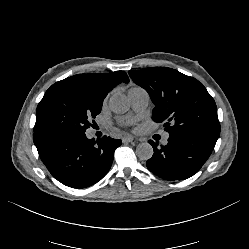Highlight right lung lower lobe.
<instances>
[{"label": "right lung lower lobe", "mask_w": 249, "mask_h": 249, "mask_svg": "<svg viewBox=\"0 0 249 249\" xmlns=\"http://www.w3.org/2000/svg\"><path fill=\"white\" fill-rule=\"evenodd\" d=\"M34 144L50 173L62 184L85 188L109 171L121 140L88 139L85 132H34Z\"/></svg>", "instance_id": "right-lung-lower-lobe-1"}]
</instances>
